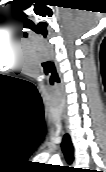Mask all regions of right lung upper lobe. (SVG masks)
Masks as SVG:
<instances>
[{"instance_id": "right-lung-upper-lobe-1", "label": "right lung upper lobe", "mask_w": 106, "mask_h": 172, "mask_svg": "<svg viewBox=\"0 0 106 172\" xmlns=\"http://www.w3.org/2000/svg\"><path fill=\"white\" fill-rule=\"evenodd\" d=\"M62 149L64 151L66 160L69 164L74 160V148L71 143L70 136L66 134L62 142Z\"/></svg>"}]
</instances>
